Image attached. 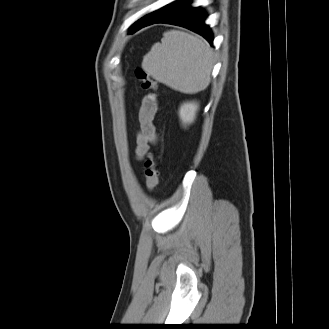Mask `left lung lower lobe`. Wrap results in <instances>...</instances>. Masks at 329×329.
<instances>
[{
	"mask_svg": "<svg viewBox=\"0 0 329 329\" xmlns=\"http://www.w3.org/2000/svg\"><path fill=\"white\" fill-rule=\"evenodd\" d=\"M204 15L199 8L191 7L190 2L178 1L143 16L131 26L130 33L154 23L174 24L202 35L212 45L213 35L204 23Z\"/></svg>",
	"mask_w": 329,
	"mask_h": 329,
	"instance_id": "obj_1",
	"label": "left lung lower lobe"
}]
</instances>
